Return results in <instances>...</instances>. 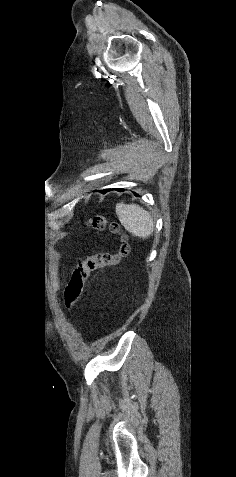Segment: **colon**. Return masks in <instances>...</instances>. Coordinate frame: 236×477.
<instances>
[{"mask_svg": "<svg viewBox=\"0 0 236 477\" xmlns=\"http://www.w3.org/2000/svg\"><path fill=\"white\" fill-rule=\"evenodd\" d=\"M90 226L100 232L119 233L120 229L116 222L108 220L103 215H96L90 221ZM129 252L128 245L123 242L116 254L98 252L89 255L82 260L72 272L65 287V304L68 308L74 307L84 292L87 281L95 272L118 265L120 260Z\"/></svg>", "mask_w": 236, "mask_h": 477, "instance_id": "1", "label": "colon"}]
</instances>
